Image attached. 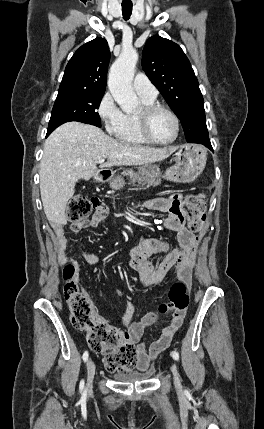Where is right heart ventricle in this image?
<instances>
[{
    "instance_id": "e07e8e85",
    "label": "right heart ventricle",
    "mask_w": 264,
    "mask_h": 429,
    "mask_svg": "<svg viewBox=\"0 0 264 429\" xmlns=\"http://www.w3.org/2000/svg\"><path fill=\"white\" fill-rule=\"evenodd\" d=\"M140 99L144 105L155 102V99H147L144 97H140ZM116 137L120 141L128 144L140 145L148 143L140 133L136 115H125L124 125Z\"/></svg>"
}]
</instances>
